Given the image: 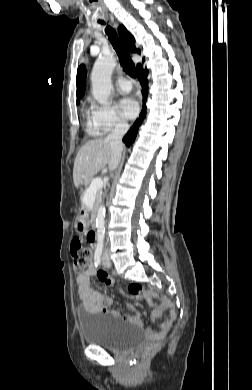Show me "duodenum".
I'll return each instance as SVG.
<instances>
[{
	"instance_id": "duodenum-1",
	"label": "duodenum",
	"mask_w": 252,
	"mask_h": 390,
	"mask_svg": "<svg viewBox=\"0 0 252 390\" xmlns=\"http://www.w3.org/2000/svg\"><path fill=\"white\" fill-rule=\"evenodd\" d=\"M82 214H83V217L85 218V213L82 212ZM90 236H91L90 237V242L93 245L96 242V232H95L94 229L90 230Z\"/></svg>"
}]
</instances>
